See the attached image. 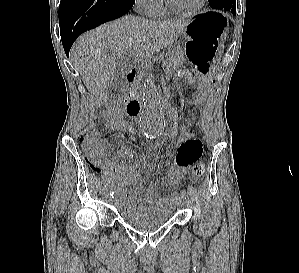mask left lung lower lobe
I'll list each match as a JSON object with an SVG mask.
<instances>
[{"mask_svg": "<svg viewBox=\"0 0 299 273\" xmlns=\"http://www.w3.org/2000/svg\"><path fill=\"white\" fill-rule=\"evenodd\" d=\"M209 5L212 9H224L236 15L235 0H211L209 1Z\"/></svg>", "mask_w": 299, "mask_h": 273, "instance_id": "0a47b994", "label": "left lung lower lobe"}]
</instances>
